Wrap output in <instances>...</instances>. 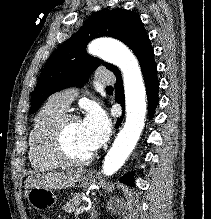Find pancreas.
Here are the masks:
<instances>
[{"label":"pancreas","mask_w":211,"mask_h":219,"mask_svg":"<svg viewBox=\"0 0 211 219\" xmlns=\"http://www.w3.org/2000/svg\"><path fill=\"white\" fill-rule=\"evenodd\" d=\"M84 194H77L75 195L72 199H69L64 206L62 207V209L65 212L68 213H72L74 212L80 205L81 203V199L84 197Z\"/></svg>","instance_id":"cf45deb5"}]
</instances>
